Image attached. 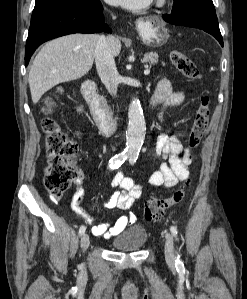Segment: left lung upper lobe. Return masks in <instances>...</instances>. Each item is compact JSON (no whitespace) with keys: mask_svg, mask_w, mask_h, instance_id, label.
Segmentation results:
<instances>
[{"mask_svg":"<svg viewBox=\"0 0 247 299\" xmlns=\"http://www.w3.org/2000/svg\"><path fill=\"white\" fill-rule=\"evenodd\" d=\"M196 5L202 8L215 11L212 0H174L172 12L178 11L183 7Z\"/></svg>","mask_w":247,"mask_h":299,"instance_id":"1","label":"left lung upper lobe"}]
</instances>
